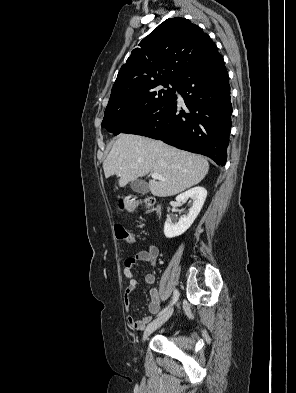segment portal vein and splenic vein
Segmentation results:
<instances>
[{
    "label": "portal vein and splenic vein",
    "mask_w": 296,
    "mask_h": 393,
    "mask_svg": "<svg viewBox=\"0 0 296 393\" xmlns=\"http://www.w3.org/2000/svg\"><path fill=\"white\" fill-rule=\"evenodd\" d=\"M151 177H152L153 179L165 181V179L162 178L158 173H151Z\"/></svg>",
    "instance_id": "18ae733b"
}]
</instances>
